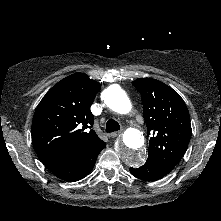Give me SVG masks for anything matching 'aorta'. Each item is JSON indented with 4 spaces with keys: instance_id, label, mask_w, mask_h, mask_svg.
I'll return each mask as SVG.
<instances>
[{
    "instance_id": "obj_1",
    "label": "aorta",
    "mask_w": 221,
    "mask_h": 221,
    "mask_svg": "<svg viewBox=\"0 0 221 221\" xmlns=\"http://www.w3.org/2000/svg\"><path fill=\"white\" fill-rule=\"evenodd\" d=\"M106 105L119 114H127L132 104L126 93L118 86H111L106 91ZM144 136L136 128H128L119 143L117 155L128 166L138 167L144 161Z\"/></svg>"
}]
</instances>
